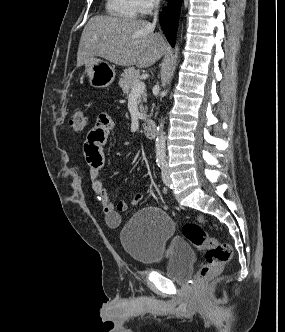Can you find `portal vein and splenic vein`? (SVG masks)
<instances>
[{"instance_id":"obj_1","label":"portal vein and splenic vein","mask_w":285,"mask_h":332,"mask_svg":"<svg viewBox=\"0 0 285 332\" xmlns=\"http://www.w3.org/2000/svg\"><path fill=\"white\" fill-rule=\"evenodd\" d=\"M145 87H146V86H145V83L142 82V81L136 83V84L133 86V88L131 89V93H130V95H139V94L143 93L144 90H145Z\"/></svg>"}]
</instances>
